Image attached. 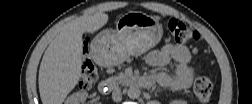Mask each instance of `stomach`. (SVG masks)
<instances>
[{"label":"stomach","instance_id":"1","mask_svg":"<svg viewBox=\"0 0 252 104\" xmlns=\"http://www.w3.org/2000/svg\"><path fill=\"white\" fill-rule=\"evenodd\" d=\"M162 37L158 18L131 11L116 22V29L100 32L93 41L92 51L108 66L117 65L130 56H139L154 47Z\"/></svg>","mask_w":252,"mask_h":104}]
</instances>
